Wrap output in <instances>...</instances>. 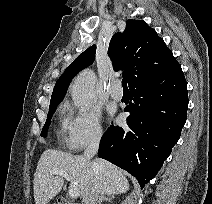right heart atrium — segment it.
I'll list each match as a JSON object with an SVG mask.
<instances>
[{"label":"right heart atrium","instance_id":"right-heart-atrium-1","mask_svg":"<svg viewBox=\"0 0 212 204\" xmlns=\"http://www.w3.org/2000/svg\"><path fill=\"white\" fill-rule=\"evenodd\" d=\"M63 127V141L73 152L98 143L103 136L100 114L96 110L74 111L67 108Z\"/></svg>","mask_w":212,"mask_h":204}]
</instances>
